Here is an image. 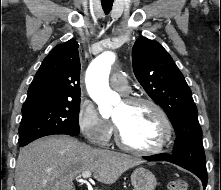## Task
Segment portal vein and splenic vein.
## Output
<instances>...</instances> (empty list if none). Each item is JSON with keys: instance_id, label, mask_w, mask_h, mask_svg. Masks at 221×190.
<instances>
[{"instance_id": "portal-vein-and-splenic-vein-1", "label": "portal vein and splenic vein", "mask_w": 221, "mask_h": 190, "mask_svg": "<svg viewBox=\"0 0 221 190\" xmlns=\"http://www.w3.org/2000/svg\"><path fill=\"white\" fill-rule=\"evenodd\" d=\"M92 173L89 171H85L81 174L82 178L87 179L89 177H91Z\"/></svg>"}]
</instances>
